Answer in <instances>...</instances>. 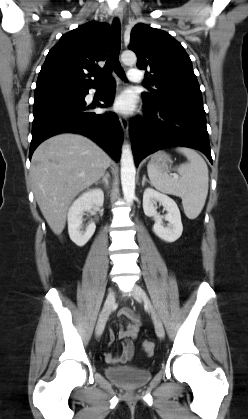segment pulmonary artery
<instances>
[{
  "label": "pulmonary artery",
  "mask_w": 248,
  "mask_h": 419,
  "mask_svg": "<svg viewBox=\"0 0 248 419\" xmlns=\"http://www.w3.org/2000/svg\"><path fill=\"white\" fill-rule=\"evenodd\" d=\"M128 79L132 82H141L142 81V74L138 68H130L128 71Z\"/></svg>",
  "instance_id": "1"
}]
</instances>
